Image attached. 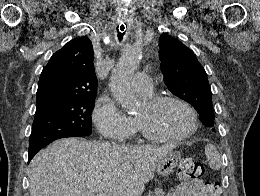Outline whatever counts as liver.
Wrapping results in <instances>:
<instances>
[{"mask_svg": "<svg viewBox=\"0 0 260 196\" xmlns=\"http://www.w3.org/2000/svg\"><path fill=\"white\" fill-rule=\"evenodd\" d=\"M177 146H123L81 138L56 140L29 164L30 196H142L156 164Z\"/></svg>", "mask_w": 260, "mask_h": 196, "instance_id": "6515ba94", "label": "liver"}]
</instances>
